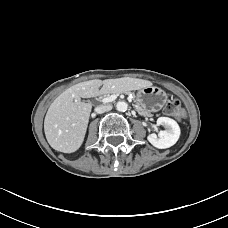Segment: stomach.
<instances>
[{
	"label": "stomach",
	"instance_id": "0dacf381",
	"mask_svg": "<svg viewBox=\"0 0 228 228\" xmlns=\"http://www.w3.org/2000/svg\"><path fill=\"white\" fill-rule=\"evenodd\" d=\"M138 105L149 112L160 110L166 100V93L159 87L147 86L141 88L136 95Z\"/></svg>",
	"mask_w": 228,
	"mask_h": 228
}]
</instances>
